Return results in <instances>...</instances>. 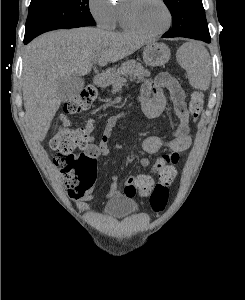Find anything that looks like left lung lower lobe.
I'll return each instance as SVG.
<instances>
[{
  "label": "left lung lower lobe",
  "mask_w": 245,
  "mask_h": 300,
  "mask_svg": "<svg viewBox=\"0 0 245 300\" xmlns=\"http://www.w3.org/2000/svg\"><path fill=\"white\" fill-rule=\"evenodd\" d=\"M163 37L167 38L170 37L169 35H163ZM173 37H188V38H193V39H197V40H202L205 41L207 43L210 42V34L208 33H197V34H186L183 36H173Z\"/></svg>",
  "instance_id": "1"
}]
</instances>
